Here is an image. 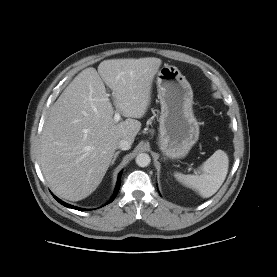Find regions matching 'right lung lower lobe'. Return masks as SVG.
Masks as SVG:
<instances>
[{
  "mask_svg": "<svg viewBox=\"0 0 277 277\" xmlns=\"http://www.w3.org/2000/svg\"><path fill=\"white\" fill-rule=\"evenodd\" d=\"M120 177H121V172L119 173V176H118V181H117V186H116L115 193H114L112 199H111L109 202H111V201L114 200V198L116 197V195H117V193H118V191H119V189H120ZM53 197H54L59 203H61L62 205H64L65 207L72 208V209H76V210H79V211L86 210V209L78 208V207L72 206V205H70V204H67V203L63 202L62 200H60L59 198H57V197L54 196V195H53Z\"/></svg>",
  "mask_w": 277,
  "mask_h": 277,
  "instance_id": "1",
  "label": "right lung lower lobe"
}]
</instances>
